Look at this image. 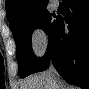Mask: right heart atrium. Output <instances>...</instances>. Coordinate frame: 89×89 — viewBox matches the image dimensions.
<instances>
[{
    "instance_id": "d8ad5b80",
    "label": "right heart atrium",
    "mask_w": 89,
    "mask_h": 89,
    "mask_svg": "<svg viewBox=\"0 0 89 89\" xmlns=\"http://www.w3.org/2000/svg\"><path fill=\"white\" fill-rule=\"evenodd\" d=\"M30 45L33 53L39 57L43 56L48 48V36L41 27H36L30 36Z\"/></svg>"
}]
</instances>
